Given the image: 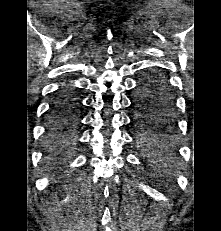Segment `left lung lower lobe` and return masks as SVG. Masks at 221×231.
Instances as JSON below:
<instances>
[{"label": "left lung lower lobe", "instance_id": "obj_1", "mask_svg": "<svg viewBox=\"0 0 221 231\" xmlns=\"http://www.w3.org/2000/svg\"><path fill=\"white\" fill-rule=\"evenodd\" d=\"M155 72H147L145 73L139 83H138V92L140 91V88L145 89H154L157 86H164V83L157 80L152 74ZM164 89L169 91L170 96H172V93L169 89V87L164 86ZM137 92V93H138ZM173 100V96H172ZM161 101H158V99L151 98L149 99V104L151 106H157ZM174 124V122H169V127H171ZM169 133H158L156 135H153L152 137L145 140L143 143L145 144V147L153 154H157L160 156H167L170 153H172L174 144L172 139L168 135Z\"/></svg>", "mask_w": 221, "mask_h": 231}]
</instances>
